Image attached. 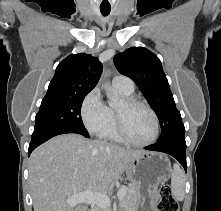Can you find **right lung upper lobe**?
Instances as JSON below:
<instances>
[{
	"instance_id": "cb5924a9",
	"label": "right lung upper lobe",
	"mask_w": 221,
	"mask_h": 211,
	"mask_svg": "<svg viewBox=\"0 0 221 211\" xmlns=\"http://www.w3.org/2000/svg\"><path fill=\"white\" fill-rule=\"evenodd\" d=\"M102 65L90 54H72L57 66L47 94H86L98 83Z\"/></svg>"
}]
</instances>
